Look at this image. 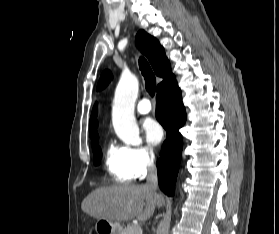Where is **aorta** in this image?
<instances>
[{
    "mask_svg": "<svg viewBox=\"0 0 279 234\" xmlns=\"http://www.w3.org/2000/svg\"><path fill=\"white\" fill-rule=\"evenodd\" d=\"M139 82L132 73H123L115 90L112 123L118 137L126 144L140 143L139 128L134 115Z\"/></svg>",
    "mask_w": 279,
    "mask_h": 234,
    "instance_id": "aorta-1",
    "label": "aorta"
}]
</instances>
